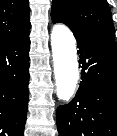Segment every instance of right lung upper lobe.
Masks as SVG:
<instances>
[{
    "label": "right lung upper lobe",
    "instance_id": "cb5924a9",
    "mask_svg": "<svg viewBox=\"0 0 117 136\" xmlns=\"http://www.w3.org/2000/svg\"><path fill=\"white\" fill-rule=\"evenodd\" d=\"M28 0H0V42L31 28Z\"/></svg>",
    "mask_w": 117,
    "mask_h": 136
}]
</instances>
